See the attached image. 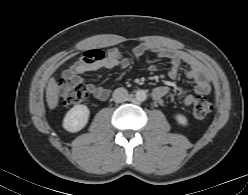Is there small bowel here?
<instances>
[{
    "label": "small bowel",
    "mask_w": 248,
    "mask_h": 195,
    "mask_svg": "<svg viewBox=\"0 0 248 195\" xmlns=\"http://www.w3.org/2000/svg\"><path fill=\"white\" fill-rule=\"evenodd\" d=\"M146 53H155L161 58L170 61L168 76L172 79L176 78L179 73V67L182 63L186 64L185 78L195 83V93L199 96H206L211 91L209 72L203 65L192 56L176 51L170 48L160 46L155 43H142L136 46L132 55L134 58H140ZM130 66V59L124 56L118 49H110L103 52L99 49L88 50L83 57L64 70L63 76L77 83H84L82 74L97 71L103 68L119 67L127 69ZM155 65H151L150 69L154 70ZM88 91L98 100L104 101L109 97L110 91L102 86L88 83L86 85ZM170 92L167 86H157L153 90V97L161 102ZM195 101V96L187 94L183 98L185 106H191Z\"/></svg>",
    "instance_id": "1"
}]
</instances>
